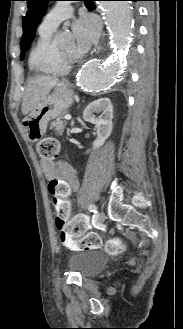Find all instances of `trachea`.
<instances>
[{
    "label": "trachea",
    "instance_id": "1",
    "mask_svg": "<svg viewBox=\"0 0 183 329\" xmlns=\"http://www.w3.org/2000/svg\"><path fill=\"white\" fill-rule=\"evenodd\" d=\"M86 5H91L93 2L92 0H84Z\"/></svg>",
    "mask_w": 183,
    "mask_h": 329
}]
</instances>
